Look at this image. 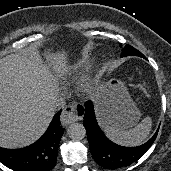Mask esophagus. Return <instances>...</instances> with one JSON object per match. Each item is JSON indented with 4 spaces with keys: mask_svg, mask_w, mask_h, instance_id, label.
<instances>
[{
    "mask_svg": "<svg viewBox=\"0 0 171 171\" xmlns=\"http://www.w3.org/2000/svg\"><path fill=\"white\" fill-rule=\"evenodd\" d=\"M80 116L74 105L67 106L61 114V122L63 125H69L75 121H78Z\"/></svg>",
    "mask_w": 171,
    "mask_h": 171,
    "instance_id": "1",
    "label": "esophagus"
}]
</instances>
